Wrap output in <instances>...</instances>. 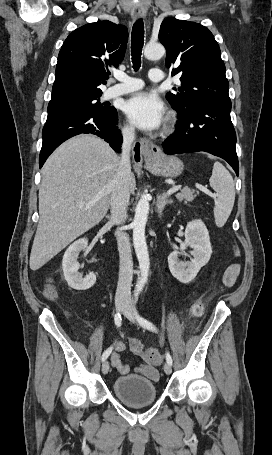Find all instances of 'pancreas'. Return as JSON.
Returning <instances> with one entry per match:
<instances>
[{"mask_svg": "<svg viewBox=\"0 0 272 455\" xmlns=\"http://www.w3.org/2000/svg\"><path fill=\"white\" fill-rule=\"evenodd\" d=\"M199 194V191L185 187L181 190L180 193H177L176 197L181 202L185 203L192 202L194 198Z\"/></svg>", "mask_w": 272, "mask_h": 455, "instance_id": "pancreas-1", "label": "pancreas"}]
</instances>
